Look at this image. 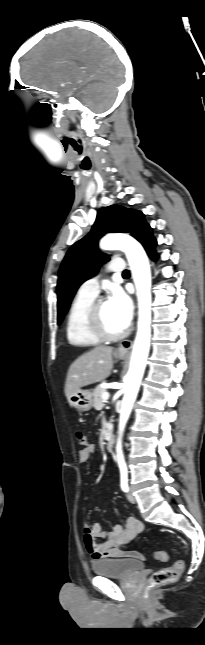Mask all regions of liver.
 <instances>
[{
    "mask_svg": "<svg viewBox=\"0 0 205 645\" xmlns=\"http://www.w3.org/2000/svg\"><path fill=\"white\" fill-rule=\"evenodd\" d=\"M113 348L97 346L89 352L79 356L70 366L66 384L65 395L68 398L81 387H85L107 378L112 371Z\"/></svg>",
    "mask_w": 205,
    "mask_h": 645,
    "instance_id": "obj_1",
    "label": "liver"
}]
</instances>
